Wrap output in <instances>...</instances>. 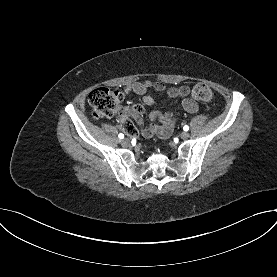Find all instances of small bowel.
Here are the masks:
<instances>
[{
	"label": "small bowel",
	"mask_w": 277,
	"mask_h": 277,
	"mask_svg": "<svg viewBox=\"0 0 277 277\" xmlns=\"http://www.w3.org/2000/svg\"><path fill=\"white\" fill-rule=\"evenodd\" d=\"M149 90L165 91L169 98L179 99L178 106L188 113H196L199 109L197 102L189 96L190 88L188 86L166 88L160 82H152L148 80L137 81L127 85L124 88L123 93H135L142 97L144 104L152 106L155 101L153 97L147 94ZM121 115L123 120L125 118H133L141 127L140 132L145 138H150L152 136L167 138L171 135L175 127L179 113L154 110L149 115L150 124L148 126H143L142 115L134 113L130 108H124ZM129 134L135 136L137 134V129L134 127V131Z\"/></svg>",
	"instance_id": "obj_1"
}]
</instances>
